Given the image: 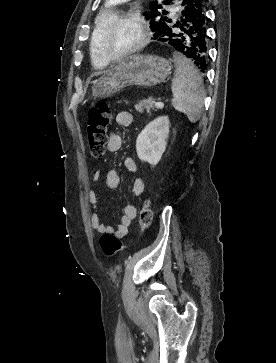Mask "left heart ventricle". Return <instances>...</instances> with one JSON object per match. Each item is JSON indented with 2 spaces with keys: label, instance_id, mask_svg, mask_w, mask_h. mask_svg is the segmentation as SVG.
Returning <instances> with one entry per match:
<instances>
[{
  "label": "left heart ventricle",
  "instance_id": "obj_1",
  "mask_svg": "<svg viewBox=\"0 0 276 363\" xmlns=\"http://www.w3.org/2000/svg\"><path fill=\"white\" fill-rule=\"evenodd\" d=\"M138 39V26L133 22L123 21L105 34L103 42L108 53L116 56L131 48Z\"/></svg>",
  "mask_w": 276,
  "mask_h": 363
}]
</instances>
